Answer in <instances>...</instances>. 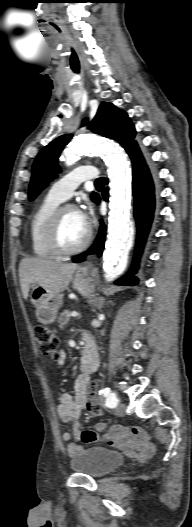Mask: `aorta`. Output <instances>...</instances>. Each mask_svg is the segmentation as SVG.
<instances>
[{
    "label": "aorta",
    "mask_w": 192,
    "mask_h": 527,
    "mask_svg": "<svg viewBox=\"0 0 192 527\" xmlns=\"http://www.w3.org/2000/svg\"><path fill=\"white\" fill-rule=\"evenodd\" d=\"M100 154L107 163L110 177L109 234L103 255V268L110 280L121 274L127 265L134 229L130 223L131 172L124 151L98 136L75 138L64 152L67 166L82 154Z\"/></svg>",
    "instance_id": "1"
}]
</instances>
